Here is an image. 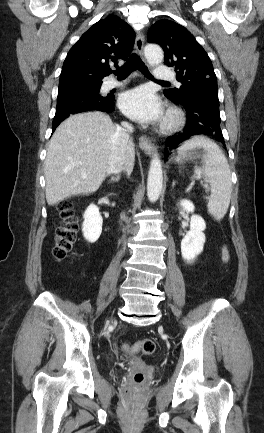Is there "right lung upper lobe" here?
<instances>
[{
    "label": "right lung upper lobe",
    "mask_w": 264,
    "mask_h": 433,
    "mask_svg": "<svg viewBox=\"0 0 264 433\" xmlns=\"http://www.w3.org/2000/svg\"><path fill=\"white\" fill-rule=\"evenodd\" d=\"M133 39V29L118 16L109 15L95 23L67 54L59 90L75 84L102 83V78L111 73L109 61L117 65L118 59H126Z\"/></svg>",
    "instance_id": "obj_1"
}]
</instances>
